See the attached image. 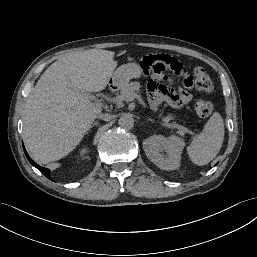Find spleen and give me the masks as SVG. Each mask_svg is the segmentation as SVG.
<instances>
[{
    "label": "spleen",
    "instance_id": "3e777b00",
    "mask_svg": "<svg viewBox=\"0 0 257 257\" xmlns=\"http://www.w3.org/2000/svg\"><path fill=\"white\" fill-rule=\"evenodd\" d=\"M224 134L223 119L219 113L215 112L205 124L203 131L187 147L191 161L198 166L212 161L222 147Z\"/></svg>",
    "mask_w": 257,
    "mask_h": 257
}]
</instances>
